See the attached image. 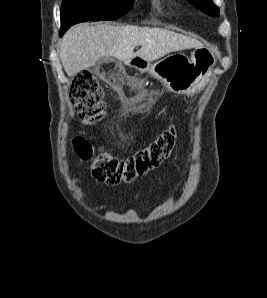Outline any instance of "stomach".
Returning <instances> with one entry per match:
<instances>
[{"mask_svg":"<svg viewBox=\"0 0 267 298\" xmlns=\"http://www.w3.org/2000/svg\"><path fill=\"white\" fill-rule=\"evenodd\" d=\"M216 60L217 51L203 46L195 48L191 57L174 54L154 64L138 57L129 63L160 80L171 92L193 95L209 80Z\"/></svg>","mask_w":267,"mask_h":298,"instance_id":"1","label":"stomach"}]
</instances>
